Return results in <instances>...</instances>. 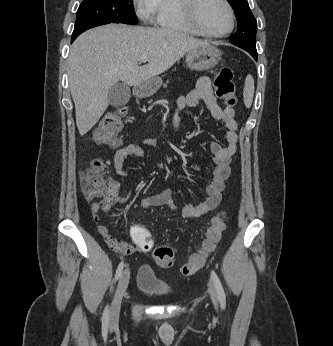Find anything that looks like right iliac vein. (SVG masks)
I'll return each mask as SVG.
<instances>
[{
  "instance_id": "1",
  "label": "right iliac vein",
  "mask_w": 333,
  "mask_h": 346,
  "mask_svg": "<svg viewBox=\"0 0 333 346\" xmlns=\"http://www.w3.org/2000/svg\"><path fill=\"white\" fill-rule=\"evenodd\" d=\"M129 277H130V272L128 269H126L118 282L113 301L111 304V309H110V323L115 324L118 321L119 314H120V308H121V303H122V298L126 292V289L128 287L129 283Z\"/></svg>"
}]
</instances>
